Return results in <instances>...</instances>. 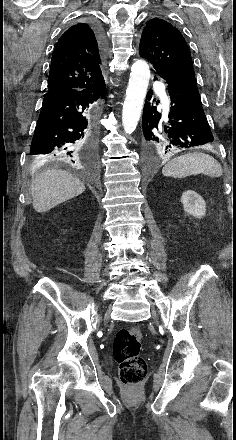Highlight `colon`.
I'll list each match as a JSON object with an SVG mask.
<instances>
[{
	"instance_id": "5ec220e1",
	"label": "colon",
	"mask_w": 236,
	"mask_h": 440,
	"mask_svg": "<svg viewBox=\"0 0 236 440\" xmlns=\"http://www.w3.org/2000/svg\"><path fill=\"white\" fill-rule=\"evenodd\" d=\"M142 334L135 327L120 329L114 339L113 354L119 376L126 386L138 385L147 376V363L140 355Z\"/></svg>"
}]
</instances>
